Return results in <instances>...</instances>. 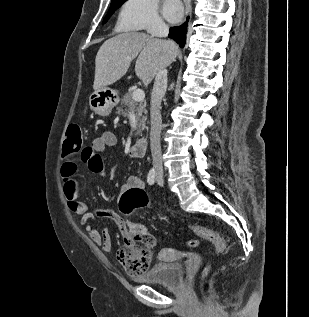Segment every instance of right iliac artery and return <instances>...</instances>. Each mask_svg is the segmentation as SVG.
Returning a JSON list of instances; mask_svg holds the SVG:
<instances>
[{
	"instance_id": "82829eb1",
	"label": "right iliac artery",
	"mask_w": 309,
	"mask_h": 317,
	"mask_svg": "<svg viewBox=\"0 0 309 317\" xmlns=\"http://www.w3.org/2000/svg\"><path fill=\"white\" fill-rule=\"evenodd\" d=\"M147 182L149 185H153L155 183V170L153 168L148 173Z\"/></svg>"
}]
</instances>
